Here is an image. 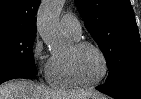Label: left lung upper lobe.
I'll list each match as a JSON object with an SVG mask.
<instances>
[{
    "mask_svg": "<svg viewBox=\"0 0 141 99\" xmlns=\"http://www.w3.org/2000/svg\"><path fill=\"white\" fill-rule=\"evenodd\" d=\"M85 26L104 53L105 83L141 75V44L130 0H75Z\"/></svg>",
    "mask_w": 141,
    "mask_h": 99,
    "instance_id": "1",
    "label": "left lung upper lobe"
}]
</instances>
